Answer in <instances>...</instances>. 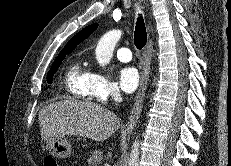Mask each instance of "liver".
I'll use <instances>...</instances> for the list:
<instances>
[{
	"mask_svg": "<svg viewBox=\"0 0 231 166\" xmlns=\"http://www.w3.org/2000/svg\"><path fill=\"white\" fill-rule=\"evenodd\" d=\"M39 124L43 140L76 135L104 141L120 128V119L96 103L65 100L44 106Z\"/></svg>",
	"mask_w": 231,
	"mask_h": 166,
	"instance_id": "6515ba94",
	"label": "liver"
}]
</instances>
